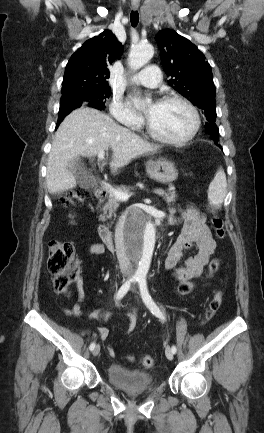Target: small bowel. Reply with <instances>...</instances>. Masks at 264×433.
I'll list each match as a JSON object with an SVG mask.
<instances>
[{
  "mask_svg": "<svg viewBox=\"0 0 264 433\" xmlns=\"http://www.w3.org/2000/svg\"><path fill=\"white\" fill-rule=\"evenodd\" d=\"M171 224L181 225L182 229L177 237L176 242L169 248L164 266L168 270H173L178 283L189 281L198 277L203 268L209 262L210 257L215 253L216 243L212 238L210 229L206 225V217L193 206H187L179 216L171 215L169 218ZM189 250H195V254L184 259V255ZM87 253L100 255L104 253V246L100 242H94L87 248ZM184 259V260H183ZM184 264L181 266L180 262ZM77 296L72 308H65L67 316H77L83 313L81 303L85 299L83 288V279L80 275L76 277ZM136 323V317H132L130 329H133ZM96 334L100 340H105L109 335V329L100 327ZM110 356L115 355L113 348L108 347ZM133 360V357H128Z\"/></svg>",
  "mask_w": 264,
  "mask_h": 433,
  "instance_id": "c3829d8e",
  "label": "small bowel"
}]
</instances>
